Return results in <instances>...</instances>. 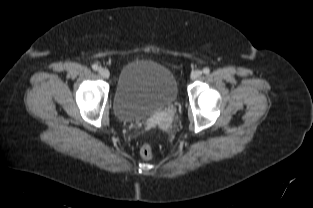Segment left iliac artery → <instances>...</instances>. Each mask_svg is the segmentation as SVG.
Returning a JSON list of instances; mask_svg holds the SVG:
<instances>
[{
  "label": "left iliac artery",
  "mask_w": 313,
  "mask_h": 208,
  "mask_svg": "<svg viewBox=\"0 0 313 208\" xmlns=\"http://www.w3.org/2000/svg\"><path fill=\"white\" fill-rule=\"evenodd\" d=\"M203 73H204V74H209V73H210V69H209L208 67H205V68L203 69Z\"/></svg>",
  "instance_id": "left-iliac-artery-1"
}]
</instances>
